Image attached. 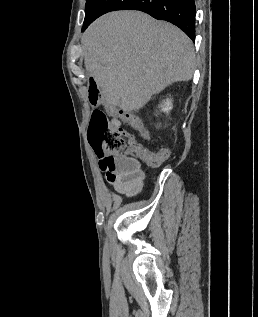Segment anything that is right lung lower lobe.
I'll return each mask as SVG.
<instances>
[{
    "instance_id": "1",
    "label": "right lung lower lobe",
    "mask_w": 258,
    "mask_h": 317,
    "mask_svg": "<svg viewBox=\"0 0 258 317\" xmlns=\"http://www.w3.org/2000/svg\"><path fill=\"white\" fill-rule=\"evenodd\" d=\"M195 9L194 0H90L82 31L109 11L139 10L178 26L195 42Z\"/></svg>"
}]
</instances>
